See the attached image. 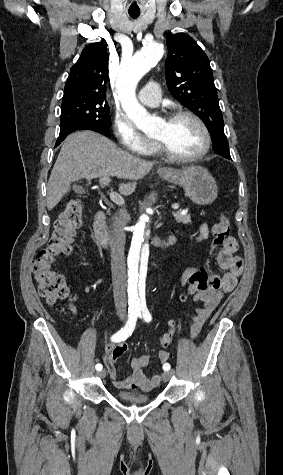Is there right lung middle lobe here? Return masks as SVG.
<instances>
[{"label": "right lung middle lobe", "instance_id": "right-lung-middle-lobe-1", "mask_svg": "<svg viewBox=\"0 0 283 475\" xmlns=\"http://www.w3.org/2000/svg\"><path fill=\"white\" fill-rule=\"evenodd\" d=\"M106 96H63L60 126L83 125L109 135L111 119Z\"/></svg>", "mask_w": 283, "mask_h": 475}]
</instances>
